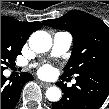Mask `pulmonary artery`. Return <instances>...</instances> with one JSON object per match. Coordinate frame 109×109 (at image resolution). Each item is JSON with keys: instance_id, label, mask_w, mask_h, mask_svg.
<instances>
[{"instance_id": "1", "label": "pulmonary artery", "mask_w": 109, "mask_h": 109, "mask_svg": "<svg viewBox=\"0 0 109 109\" xmlns=\"http://www.w3.org/2000/svg\"><path fill=\"white\" fill-rule=\"evenodd\" d=\"M72 35L67 31H59L53 36V45L51 49V56L57 57L67 52L72 44ZM35 65L30 64L27 67L32 68Z\"/></svg>"}]
</instances>
